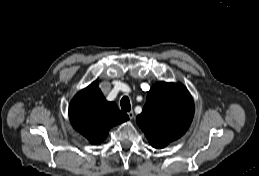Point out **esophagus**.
<instances>
[{"label": "esophagus", "instance_id": "esophagus-1", "mask_svg": "<svg viewBox=\"0 0 259 176\" xmlns=\"http://www.w3.org/2000/svg\"><path fill=\"white\" fill-rule=\"evenodd\" d=\"M128 116H129V118H130L131 120L134 119V112H133V110H131V111L128 112Z\"/></svg>", "mask_w": 259, "mask_h": 176}]
</instances>
